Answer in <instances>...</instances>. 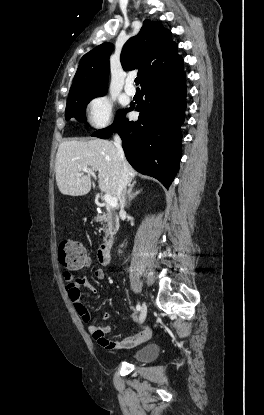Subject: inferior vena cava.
Instances as JSON below:
<instances>
[{
  "instance_id": "obj_1",
  "label": "inferior vena cava",
  "mask_w": 264,
  "mask_h": 415,
  "mask_svg": "<svg viewBox=\"0 0 264 415\" xmlns=\"http://www.w3.org/2000/svg\"><path fill=\"white\" fill-rule=\"evenodd\" d=\"M114 145L123 163V171L121 172V176L119 178L118 187H117V198L120 201L121 210H123L126 204V187L129 182V179H128L127 169H126V164H125L124 151L122 148L121 139L118 135L114 136Z\"/></svg>"
}]
</instances>
